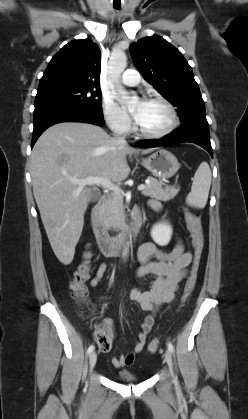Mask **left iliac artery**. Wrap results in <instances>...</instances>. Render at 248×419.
Instances as JSON below:
<instances>
[{
    "mask_svg": "<svg viewBox=\"0 0 248 419\" xmlns=\"http://www.w3.org/2000/svg\"><path fill=\"white\" fill-rule=\"evenodd\" d=\"M167 346H168L169 351L171 353H174V347H173V345L170 342H168Z\"/></svg>",
    "mask_w": 248,
    "mask_h": 419,
    "instance_id": "44dca946",
    "label": "left iliac artery"
}]
</instances>
